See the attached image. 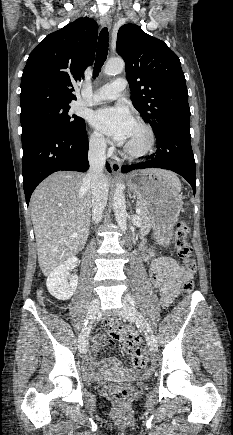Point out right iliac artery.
<instances>
[{"instance_id":"obj_1","label":"right iliac artery","mask_w":233,"mask_h":435,"mask_svg":"<svg viewBox=\"0 0 233 435\" xmlns=\"http://www.w3.org/2000/svg\"><path fill=\"white\" fill-rule=\"evenodd\" d=\"M84 325H85V327H86V326L88 325V321H87V322H85V324H84ZM83 331H84V329H83Z\"/></svg>"}]
</instances>
